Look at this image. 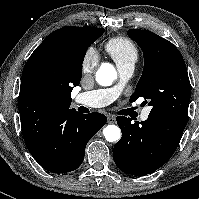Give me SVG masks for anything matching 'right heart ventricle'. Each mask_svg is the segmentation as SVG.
<instances>
[{
	"label": "right heart ventricle",
	"instance_id": "obj_1",
	"mask_svg": "<svg viewBox=\"0 0 199 199\" xmlns=\"http://www.w3.org/2000/svg\"><path fill=\"white\" fill-rule=\"evenodd\" d=\"M106 51L113 58L117 67L128 64H135L139 52L137 46L126 37H114L107 41Z\"/></svg>",
	"mask_w": 199,
	"mask_h": 199
}]
</instances>
